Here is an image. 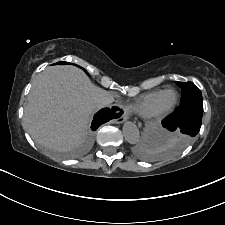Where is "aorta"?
I'll list each match as a JSON object with an SVG mask.
<instances>
[{
	"label": "aorta",
	"mask_w": 225,
	"mask_h": 225,
	"mask_svg": "<svg viewBox=\"0 0 225 225\" xmlns=\"http://www.w3.org/2000/svg\"><path fill=\"white\" fill-rule=\"evenodd\" d=\"M123 135L125 140L130 144H136L140 140L139 129L132 122H126L123 125Z\"/></svg>",
	"instance_id": "aorta-1"
}]
</instances>
